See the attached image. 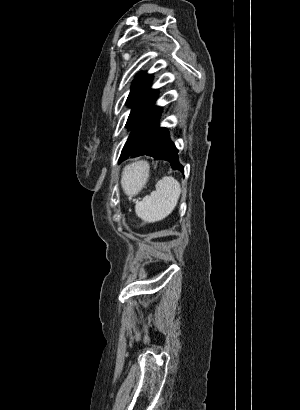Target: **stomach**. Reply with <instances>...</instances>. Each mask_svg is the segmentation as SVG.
Returning a JSON list of instances; mask_svg holds the SVG:
<instances>
[{"label":"stomach","instance_id":"stomach-1","mask_svg":"<svg viewBox=\"0 0 300 410\" xmlns=\"http://www.w3.org/2000/svg\"><path fill=\"white\" fill-rule=\"evenodd\" d=\"M144 165H146L147 166V171H146V173H144V175H142V176H140L139 177V179H140V184H138V186H134V194L135 193H137L145 184H146V182H147V180H148V177H149V166L146 164V163H144V162H142ZM138 176V175H137ZM136 176V177H137ZM137 179V178H136Z\"/></svg>","mask_w":300,"mask_h":410}]
</instances>
